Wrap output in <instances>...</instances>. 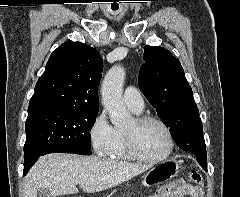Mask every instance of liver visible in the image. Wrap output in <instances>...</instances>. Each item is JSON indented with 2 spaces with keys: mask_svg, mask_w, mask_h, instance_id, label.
<instances>
[{
  "mask_svg": "<svg viewBox=\"0 0 240 197\" xmlns=\"http://www.w3.org/2000/svg\"><path fill=\"white\" fill-rule=\"evenodd\" d=\"M149 165L76 154H50L39 158L25 177L24 197H37L40 188L52 196L87 193L115 187L145 170Z\"/></svg>",
  "mask_w": 240,
  "mask_h": 197,
  "instance_id": "liver-1",
  "label": "liver"
}]
</instances>
